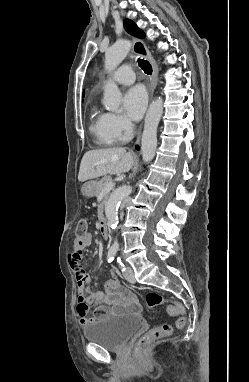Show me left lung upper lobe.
Returning <instances> with one entry per match:
<instances>
[{
	"mask_svg": "<svg viewBox=\"0 0 249 382\" xmlns=\"http://www.w3.org/2000/svg\"><path fill=\"white\" fill-rule=\"evenodd\" d=\"M124 26H125L126 31L129 34L136 36V37H144L143 31L140 30L133 21L126 19L124 21Z\"/></svg>",
	"mask_w": 249,
	"mask_h": 382,
	"instance_id": "1",
	"label": "left lung upper lobe"
}]
</instances>
